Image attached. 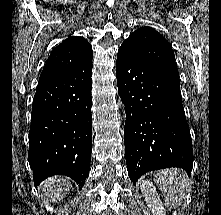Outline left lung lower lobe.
<instances>
[{"mask_svg":"<svg viewBox=\"0 0 221 215\" xmlns=\"http://www.w3.org/2000/svg\"><path fill=\"white\" fill-rule=\"evenodd\" d=\"M116 75L126 112L124 143L131 181L135 184L146 172L168 167H181L190 176L192 141L179 80L122 45Z\"/></svg>","mask_w":221,"mask_h":215,"instance_id":"0a47b994","label":"left lung lower lobe"}]
</instances>
